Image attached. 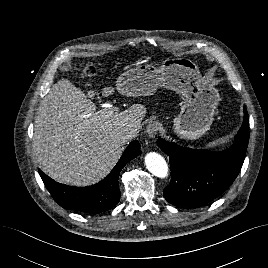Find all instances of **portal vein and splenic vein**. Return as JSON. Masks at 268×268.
I'll list each match as a JSON object with an SVG mask.
<instances>
[{
  "instance_id": "obj_1",
  "label": "portal vein and splenic vein",
  "mask_w": 268,
  "mask_h": 268,
  "mask_svg": "<svg viewBox=\"0 0 268 268\" xmlns=\"http://www.w3.org/2000/svg\"><path fill=\"white\" fill-rule=\"evenodd\" d=\"M114 111V108L108 107L98 111L96 115H98V117L108 118L114 113Z\"/></svg>"
}]
</instances>
